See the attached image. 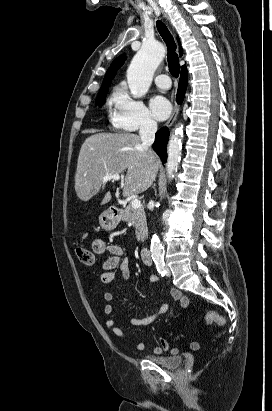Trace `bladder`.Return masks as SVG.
<instances>
[{
    "instance_id": "bladder-1",
    "label": "bladder",
    "mask_w": 272,
    "mask_h": 411,
    "mask_svg": "<svg viewBox=\"0 0 272 411\" xmlns=\"http://www.w3.org/2000/svg\"><path fill=\"white\" fill-rule=\"evenodd\" d=\"M147 359L168 368H177L183 363V358L179 355H148Z\"/></svg>"
}]
</instances>
